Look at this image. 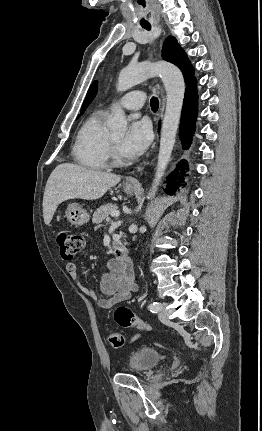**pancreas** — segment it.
Here are the masks:
<instances>
[{"mask_svg":"<svg viewBox=\"0 0 262 431\" xmlns=\"http://www.w3.org/2000/svg\"><path fill=\"white\" fill-rule=\"evenodd\" d=\"M117 206L114 204H105L100 206L93 214L92 222L100 224L103 220L108 218L112 211H116Z\"/></svg>","mask_w":262,"mask_h":431,"instance_id":"cf45deb5","label":"pancreas"}]
</instances>
